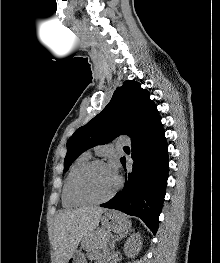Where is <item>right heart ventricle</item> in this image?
I'll return each instance as SVG.
<instances>
[{
    "instance_id": "right-heart-ventricle-1",
    "label": "right heart ventricle",
    "mask_w": 220,
    "mask_h": 263,
    "mask_svg": "<svg viewBox=\"0 0 220 263\" xmlns=\"http://www.w3.org/2000/svg\"><path fill=\"white\" fill-rule=\"evenodd\" d=\"M90 160V155L88 153H84L80 155L74 163L71 165L69 172L65 178L63 190H62V204L64 207H75L80 205V203L74 201L70 194V184L74 174L77 172L79 168H81L85 163Z\"/></svg>"
}]
</instances>
